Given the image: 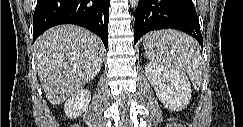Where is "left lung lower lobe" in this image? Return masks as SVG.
Here are the masks:
<instances>
[{
    "label": "left lung lower lobe",
    "instance_id": "0a47b994",
    "mask_svg": "<svg viewBox=\"0 0 243 127\" xmlns=\"http://www.w3.org/2000/svg\"><path fill=\"white\" fill-rule=\"evenodd\" d=\"M168 28L183 31L203 45L192 0H139L135 14L134 43L149 31Z\"/></svg>",
    "mask_w": 243,
    "mask_h": 127
}]
</instances>
